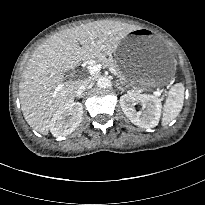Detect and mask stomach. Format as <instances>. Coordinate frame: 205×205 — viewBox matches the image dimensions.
Masks as SVG:
<instances>
[{"instance_id": "1", "label": "stomach", "mask_w": 205, "mask_h": 205, "mask_svg": "<svg viewBox=\"0 0 205 205\" xmlns=\"http://www.w3.org/2000/svg\"><path fill=\"white\" fill-rule=\"evenodd\" d=\"M114 57L123 78L137 87L158 86L175 70L172 53L147 28H138L124 37Z\"/></svg>"}]
</instances>
